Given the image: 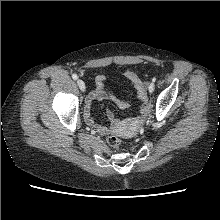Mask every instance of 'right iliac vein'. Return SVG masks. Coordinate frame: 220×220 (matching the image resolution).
<instances>
[{"mask_svg": "<svg viewBox=\"0 0 220 220\" xmlns=\"http://www.w3.org/2000/svg\"><path fill=\"white\" fill-rule=\"evenodd\" d=\"M77 84H78L80 90H81L82 92H84L85 89H86L84 81L81 80V79H78V80H77Z\"/></svg>", "mask_w": 220, "mask_h": 220, "instance_id": "obj_1", "label": "right iliac vein"}]
</instances>
